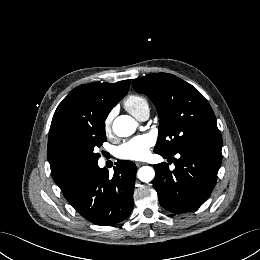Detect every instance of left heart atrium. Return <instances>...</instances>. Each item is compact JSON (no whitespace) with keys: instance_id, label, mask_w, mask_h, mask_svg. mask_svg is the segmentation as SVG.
<instances>
[{"instance_id":"left-heart-atrium-1","label":"left heart atrium","mask_w":260,"mask_h":260,"mask_svg":"<svg viewBox=\"0 0 260 260\" xmlns=\"http://www.w3.org/2000/svg\"><path fill=\"white\" fill-rule=\"evenodd\" d=\"M153 142L150 135L137 136L120 145L116 149V155L120 159L142 160L148 156Z\"/></svg>"}]
</instances>
